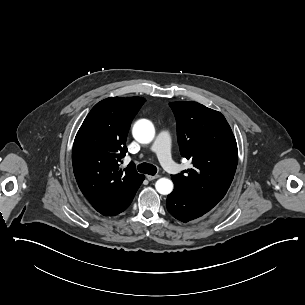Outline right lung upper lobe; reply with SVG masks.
<instances>
[{"instance_id":"right-lung-upper-lobe-1","label":"right lung upper lobe","mask_w":305,"mask_h":305,"mask_svg":"<svg viewBox=\"0 0 305 305\" xmlns=\"http://www.w3.org/2000/svg\"><path fill=\"white\" fill-rule=\"evenodd\" d=\"M144 98L110 97L97 103L85 118L73 144L72 163L78 186L98 211L114 206L137 190L144 175L134 165L122 170L126 137Z\"/></svg>"}]
</instances>
